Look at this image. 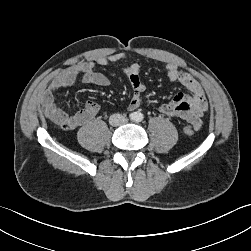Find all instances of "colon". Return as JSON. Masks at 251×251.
<instances>
[{
  "instance_id": "1",
  "label": "colon",
  "mask_w": 251,
  "mask_h": 251,
  "mask_svg": "<svg viewBox=\"0 0 251 251\" xmlns=\"http://www.w3.org/2000/svg\"><path fill=\"white\" fill-rule=\"evenodd\" d=\"M52 120L61 128L69 129L72 128V116L64 111H56L52 114ZM184 132L187 135L194 133V127L186 126Z\"/></svg>"
}]
</instances>
